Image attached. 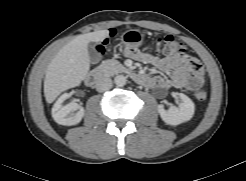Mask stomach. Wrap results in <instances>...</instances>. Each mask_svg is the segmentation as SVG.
<instances>
[{
	"mask_svg": "<svg viewBox=\"0 0 246 181\" xmlns=\"http://www.w3.org/2000/svg\"><path fill=\"white\" fill-rule=\"evenodd\" d=\"M144 35L141 31L133 29L124 32L121 36V41L125 46L138 47L143 42Z\"/></svg>",
	"mask_w": 246,
	"mask_h": 181,
	"instance_id": "obj_1",
	"label": "stomach"
}]
</instances>
